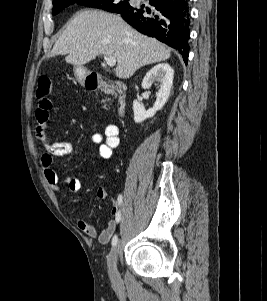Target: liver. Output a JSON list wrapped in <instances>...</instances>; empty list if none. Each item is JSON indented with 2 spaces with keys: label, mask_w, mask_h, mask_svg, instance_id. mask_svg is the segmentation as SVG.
<instances>
[{
  "label": "liver",
  "mask_w": 267,
  "mask_h": 301,
  "mask_svg": "<svg viewBox=\"0 0 267 301\" xmlns=\"http://www.w3.org/2000/svg\"><path fill=\"white\" fill-rule=\"evenodd\" d=\"M101 54L116 58L115 74L121 79L171 56L165 45L142 35L119 15L99 10L78 12L51 51V56L66 55L67 63L80 68Z\"/></svg>",
  "instance_id": "1"
}]
</instances>
